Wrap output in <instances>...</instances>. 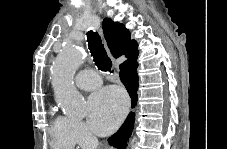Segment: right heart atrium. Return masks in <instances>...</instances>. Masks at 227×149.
Returning <instances> with one entry per match:
<instances>
[{"label": "right heart atrium", "mask_w": 227, "mask_h": 149, "mask_svg": "<svg viewBox=\"0 0 227 149\" xmlns=\"http://www.w3.org/2000/svg\"><path fill=\"white\" fill-rule=\"evenodd\" d=\"M70 132L75 143L79 145L93 144L94 137L83 122L70 120Z\"/></svg>", "instance_id": "d8ad5b80"}]
</instances>
